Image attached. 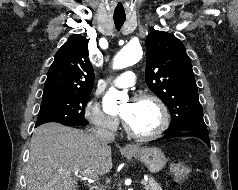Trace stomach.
<instances>
[{
	"mask_svg": "<svg viewBox=\"0 0 238 190\" xmlns=\"http://www.w3.org/2000/svg\"><path fill=\"white\" fill-rule=\"evenodd\" d=\"M126 155L141 161L151 173H158L167 163L164 153L157 147L137 148Z\"/></svg>",
	"mask_w": 238,
	"mask_h": 190,
	"instance_id": "obj_1",
	"label": "stomach"
}]
</instances>
